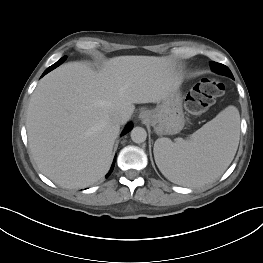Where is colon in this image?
Listing matches in <instances>:
<instances>
[{"instance_id": "obj_1", "label": "colon", "mask_w": 263, "mask_h": 263, "mask_svg": "<svg viewBox=\"0 0 263 263\" xmlns=\"http://www.w3.org/2000/svg\"><path fill=\"white\" fill-rule=\"evenodd\" d=\"M224 91L225 87L219 80L202 79L187 94L185 109L191 115H201L224 94Z\"/></svg>"}]
</instances>
